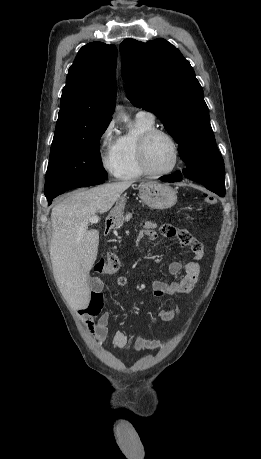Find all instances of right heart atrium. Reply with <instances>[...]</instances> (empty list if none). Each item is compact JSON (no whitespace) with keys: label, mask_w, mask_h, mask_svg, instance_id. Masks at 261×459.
Returning <instances> with one entry per match:
<instances>
[{"label":"right heart atrium","mask_w":261,"mask_h":459,"mask_svg":"<svg viewBox=\"0 0 261 459\" xmlns=\"http://www.w3.org/2000/svg\"><path fill=\"white\" fill-rule=\"evenodd\" d=\"M114 123L110 122L102 130L99 136V153L103 168L111 175L116 176L118 171V159L113 139Z\"/></svg>","instance_id":"obj_1"}]
</instances>
